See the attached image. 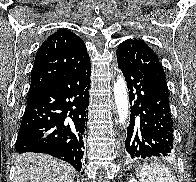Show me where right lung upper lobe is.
Masks as SVG:
<instances>
[{
	"label": "right lung upper lobe",
	"instance_id": "1",
	"mask_svg": "<svg viewBox=\"0 0 196 182\" xmlns=\"http://www.w3.org/2000/svg\"><path fill=\"white\" fill-rule=\"evenodd\" d=\"M89 58L84 42L67 29L50 35L38 49L28 99Z\"/></svg>",
	"mask_w": 196,
	"mask_h": 182
}]
</instances>
